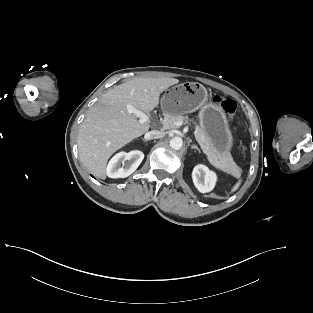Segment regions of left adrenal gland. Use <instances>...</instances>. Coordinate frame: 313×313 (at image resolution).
<instances>
[{"instance_id":"left-adrenal-gland-1","label":"left adrenal gland","mask_w":313,"mask_h":313,"mask_svg":"<svg viewBox=\"0 0 313 313\" xmlns=\"http://www.w3.org/2000/svg\"><path fill=\"white\" fill-rule=\"evenodd\" d=\"M191 149H196L197 151L200 152V149L196 145H191Z\"/></svg>"}]
</instances>
